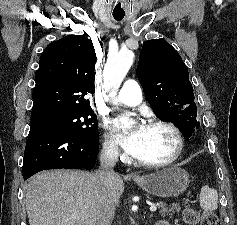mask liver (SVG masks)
I'll return each mask as SVG.
<instances>
[{
    "label": "liver",
    "mask_w": 237,
    "mask_h": 225,
    "mask_svg": "<svg viewBox=\"0 0 237 225\" xmlns=\"http://www.w3.org/2000/svg\"><path fill=\"white\" fill-rule=\"evenodd\" d=\"M94 173L50 170L37 174L26 186L30 225H97ZM124 191L120 176L112 185L115 204Z\"/></svg>",
    "instance_id": "1"
}]
</instances>
